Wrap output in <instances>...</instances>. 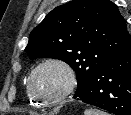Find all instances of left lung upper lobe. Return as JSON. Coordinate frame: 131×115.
Instances as JSON below:
<instances>
[{
  "mask_svg": "<svg viewBox=\"0 0 131 115\" xmlns=\"http://www.w3.org/2000/svg\"><path fill=\"white\" fill-rule=\"evenodd\" d=\"M130 38L113 2L72 0L49 12L33 29L25 51L31 59L49 57L68 63L77 76L76 97Z\"/></svg>",
  "mask_w": 131,
  "mask_h": 115,
  "instance_id": "left-lung-upper-lobe-1",
  "label": "left lung upper lobe"
}]
</instances>
